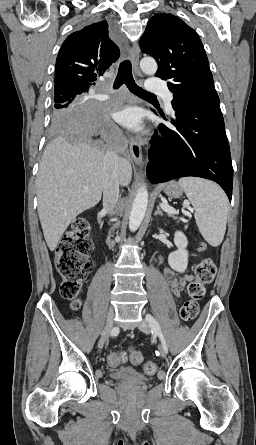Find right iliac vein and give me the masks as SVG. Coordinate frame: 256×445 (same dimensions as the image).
I'll use <instances>...</instances> for the list:
<instances>
[{"instance_id":"63e3f726","label":"right iliac vein","mask_w":256,"mask_h":445,"mask_svg":"<svg viewBox=\"0 0 256 445\" xmlns=\"http://www.w3.org/2000/svg\"><path fill=\"white\" fill-rule=\"evenodd\" d=\"M113 319H114V308L111 307L109 309V311H108L106 324H105V327H104V329H103V331L101 333V337H100L99 342H98V347L100 349H102L106 339L108 338V336H109V334H110V332L112 330Z\"/></svg>"}]
</instances>
